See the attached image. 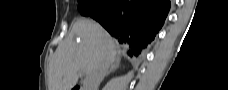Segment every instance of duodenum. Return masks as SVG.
Segmentation results:
<instances>
[{
  "instance_id": "duodenum-1",
  "label": "duodenum",
  "mask_w": 228,
  "mask_h": 90,
  "mask_svg": "<svg viewBox=\"0 0 228 90\" xmlns=\"http://www.w3.org/2000/svg\"><path fill=\"white\" fill-rule=\"evenodd\" d=\"M73 90H83L81 86H75Z\"/></svg>"
}]
</instances>
